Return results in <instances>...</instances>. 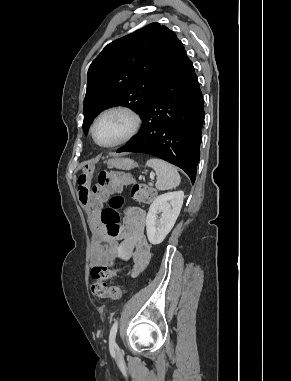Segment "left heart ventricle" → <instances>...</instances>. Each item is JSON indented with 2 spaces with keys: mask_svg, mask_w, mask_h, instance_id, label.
Segmentation results:
<instances>
[{
  "mask_svg": "<svg viewBox=\"0 0 291 381\" xmlns=\"http://www.w3.org/2000/svg\"><path fill=\"white\" fill-rule=\"evenodd\" d=\"M132 128V119L125 113L114 112L102 117L96 126L97 140L102 144L114 143L125 137Z\"/></svg>",
  "mask_w": 291,
  "mask_h": 381,
  "instance_id": "b2bd125f",
  "label": "left heart ventricle"
}]
</instances>
